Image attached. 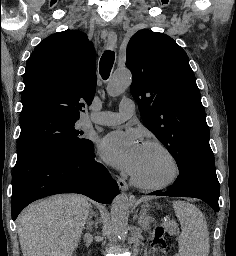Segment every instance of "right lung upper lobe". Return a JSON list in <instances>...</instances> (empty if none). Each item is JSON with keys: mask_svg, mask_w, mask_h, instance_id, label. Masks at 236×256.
<instances>
[{"mask_svg": "<svg viewBox=\"0 0 236 256\" xmlns=\"http://www.w3.org/2000/svg\"><path fill=\"white\" fill-rule=\"evenodd\" d=\"M23 81L20 118L40 112L79 118L96 91L93 44L78 30L50 35L31 54Z\"/></svg>", "mask_w": 236, "mask_h": 256, "instance_id": "1", "label": "right lung upper lobe"}]
</instances>
